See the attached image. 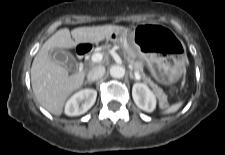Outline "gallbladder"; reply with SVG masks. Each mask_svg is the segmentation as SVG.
<instances>
[{
  "instance_id": "gallbladder-1",
  "label": "gallbladder",
  "mask_w": 225,
  "mask_h": 155,
  "mask_svg": "<svg viewBox=\"0 0 225 155\" xmlns=\"http://www.w3.org/2000/svg\"><path fill=\"white\" fill-rule=\"evenodd\" d=\"M49 55L53 61L65 66L68 70L72 72L77 71L78 63L75 57L68 51L55 48L49 51Z\"/></svg>"
}]
</instances>
